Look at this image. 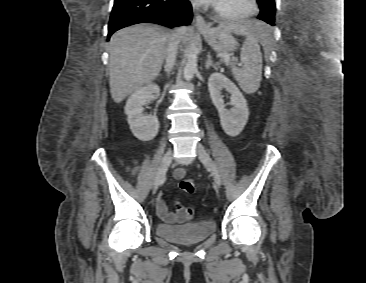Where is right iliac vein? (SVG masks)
<instances>
[{"mask_svg":"<svg viewBox=\"0 0 366 283\" xmlns=\"http://www.w3.org/2000/svg\"><path fill=\"white\" fill-rule=\"evenodd\" d=\"M171 161H172V150L169 149L166 152V154L163 156L161 164L157 170L155 180H154V185H153L154 193L157 191L158 187L162 183Z\"/></svg>","mask_w":366,"mask_h":283,"instance_id":"obj_1","label":"right iliac vein"}]
</instances>
